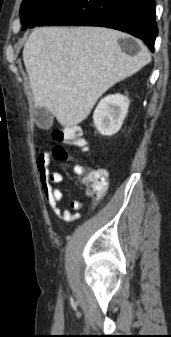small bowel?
I'll list each match as a JSON object with an SVG mask.
<instances>
[{
    "instance_id": "small-bowel-1",
    "label": "small bowel",
    "mask_w": 171,
    "mask_h": 337,
    "mask_svg": "<svg viewBox=\"0 0 171 337\" xmlns=\"http://www.w3.org/2000/svg\"><path fill=\"white\" fill-rule=\"evenodd\" d=\"M52 161L50 152H37L35 157L36 169L39 177L40 187L44 194V199L51 209L52 213L62 221L72 222L78 220L81 214L78 212L82 209L84 203L81 200L74 199L70 202V209L63 207V193L61 189L55 185L62 183L65 180L63 173L49 170V165ZM75 173L83 176L85 170L81 166H76ZM87 197H91L92 193L89 188L85 190ZM71 210L76 211L72 213Z\"/></svg>"
}]
</instances>
